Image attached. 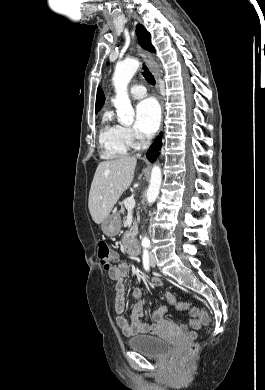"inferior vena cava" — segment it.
Returning a JSON list of instances; mask_svg holds the SVG:
<instances>
[{
    "mask_svg": "<svg viewBox=\"0 0 265 390\" xmlns=\"http://www.w3.org/2000/svg\"><path fill=\"white\" fill-rule=\"evenodd\" d=\"M146 138H147V141H144V143H143V149H146L147 147H148V144H149V140H150V136H146Z\"/></svg>",
    "mask_w": 265,
    "mask_h": 390,
    "instance_id": "obj_1",
    "label": "inferior vena cava"
}]
</instances>
